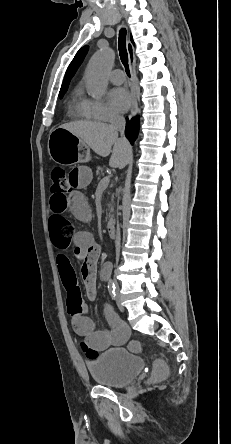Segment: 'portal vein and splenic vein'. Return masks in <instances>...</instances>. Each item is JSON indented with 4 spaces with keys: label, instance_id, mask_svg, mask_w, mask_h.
<instances>
[{
    "label": "portal vein and splenic vein",
    "instance_id": "portal-vein-and-splenic-vein-1",
    "mask_svg": "<svg viewBox=\"0 0 231 444\" xmlns=\"http://www.w3.org/2000/svg\"><path fill=\"white\" fill-rule=\"evenodd\" d=\"M110 182V176H104L100 182L99 185L100 187L106 188L109 185Z\"/></svg>",
    "mask_w": 231,
    "mask_h": 444
}]
</instances>
